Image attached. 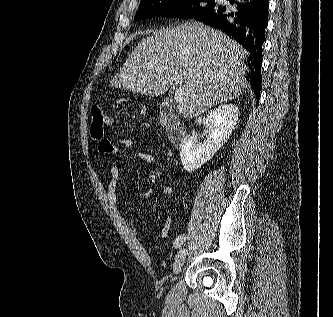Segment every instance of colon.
I'll return each instance as SVG.
<instances>
[{
    "label": "colon",
    "mask_w": 333,
    "mask_h": 317,
    "mask_svg": "<svg viewBox=\"0 0 333 317\" xmlns=\"http://www.w3.org/2000/svg\"><path fill=\"white\" fill-rule=\"evenodd\" d=\"M92 114V125L91 135L92 138L97 142L103 135V129L106 125L112 124L114 119L108 115L102 106L96 105L91 110Z\"/></svg>",
    "instance_id": "colon-1"
}]
</instances>
